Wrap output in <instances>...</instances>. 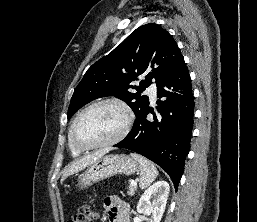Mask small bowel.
<instances>
[{
	"label": "small bowel",
	"instance_id": "1",
	"mask_svg": "<svg viewBox=\"0 0 257 222\" xmlns=\"http://www.w3.org/2000/svg\"><path fill=\"white\" fill-rule=\"evenodd\" d=\"M104 207L109 218V222H129V208L120 199L110 196L105 199Z\"/></svg>",
	"mask_w": 257,
	"mask_h": 222
}]
</instances>
